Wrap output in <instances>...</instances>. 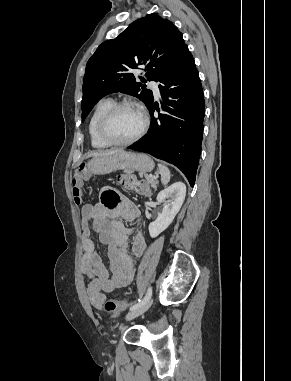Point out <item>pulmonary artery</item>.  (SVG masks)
<instances>
[{"label":"pulmonary artery","instance_id":"1","mask_svg":"<svg viewBox=\"0 0 291 381\" xmlns=\"http://www.w3.org/2000/svg\"><path fill=\"white\" fill-rule=\"evenodd\" d=\"M150 86L152 87V89H153V92L155 93V95H159V87H158V82H156V81H154V80H152V81H150Z\"/></svg>","mask_w":291,"mask_h":381}]
</instances>
